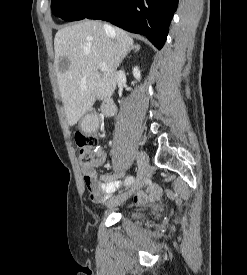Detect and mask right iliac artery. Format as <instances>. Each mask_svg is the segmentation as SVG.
<instances>
[{
	"instance_id": "obj_1",
	"label": "right iliac artery",
	"mask_w": 247,
	"mask_h": 275,
	"mask_svg": "<svg viewBox=\"0 0 247 275\" xmlns=\"http://www.w3.org/2000/svg\"><path fill=\"white\" fill-rule=\"evenodd\" d=\"M134 182V177L133 176H128L125 181L124 184L125 185H131Z\"/></svg>"
}]
</instances>
